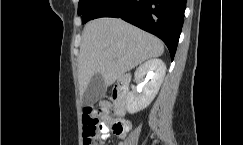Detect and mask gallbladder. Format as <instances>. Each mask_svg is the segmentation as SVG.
Masks as SVG:
<instances>
[{
    "instance_id": "gallbladder-1",
    "label": "gallbladder",
    "mask_w": 243,
    "mask_h": 145,
    "mask_svg": "<svg viewBox=\"0 0 243 145\" xmlns=\"http://www.w3.org/2000/svg\"><path fill=\"white\" fill-rule=\"evenodd\" d=\"M106 92V85L101 74H95L89 81L83 94V105H91L94 101L102 98Z\"/></svg>"
}]
</instances>
